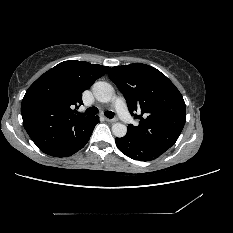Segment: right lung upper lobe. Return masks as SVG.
Instances as JSON below:
<instances>
[{"label": "right lung upper lobe", "instance_id": "right-lung-upper-lobe-1", "mask_svg": "<svg viewBox=\"0 0 233 233\" xmlns=\"http://www.w3.org/2000/svg\"><path fill=\"white\" fill-rule=\"evenodd\" d=\"M108 67L84 61H64L41 75L21 104L23 125L36 146L50 155L74 142L92 117L75 114L82 92Z\"/></svg>", "mask_w": 233, "mask_h": 233}]
</instances>
